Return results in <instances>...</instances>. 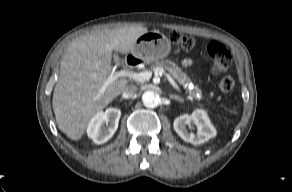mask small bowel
I'll return each instance as SVG.
<instances>
[{
  "label": "small bowel",
  "mask_w": 292,
  "mask_h": 192,
  "mask_svg": "<svg viewBox=\"0 0 292 192\" xmlns=\"http://www.w3.org/2000/svg\"><path fill=\"white\" fill-rule=\"evenodd\" d=\"M184 65L185 66H191L192 65V61L187 59V60L184 61Z\"/></svg>",
  "instance_id": "1"
}]
</instances>
